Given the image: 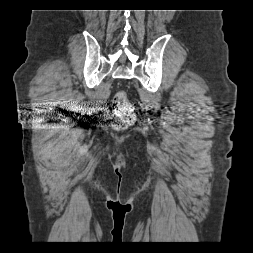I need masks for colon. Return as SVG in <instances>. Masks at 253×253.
<instances>
[{"instance_id": "5ec220e1", "label": "colon", "mask_w": 253, "mask_h": 253, "mask_svg": "<svg viewBox=\"0 0 253 253\" xmlns=\"http://www.w3.org/2000/svg\"><path fill=\"white\" fill-rule=\"evenodd\" d=\"M114 121L113 128L117 131H122L128 128L135 120L133 105L128 100L127 94L120 90L112 100Z\"/></svg>"}]
</instances>
